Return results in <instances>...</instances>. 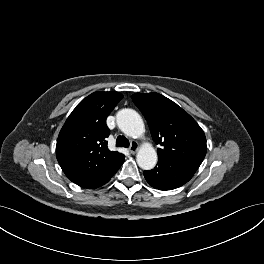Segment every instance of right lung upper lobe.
I'll return each mask as SVG.
<instances>
[{
	"mask_svg": "<svg viewBox=\"0 0 264 264\" xmlns=\"http://www.w3.org/2000/svg\"><path fill=\"white\" fill-rule=\"evenodd\" d=\"M123 98L118 92H94L83 99L67 118L56 145L57 160L74 183L104 170L123 154L110 151L106 118Z\"/></svg>",
	"mask_w": 264,
	"mask_h": 264,
	"instance_id": "1",
	"label": "right lung upper lobe"
}]
</instances>
